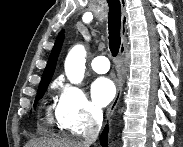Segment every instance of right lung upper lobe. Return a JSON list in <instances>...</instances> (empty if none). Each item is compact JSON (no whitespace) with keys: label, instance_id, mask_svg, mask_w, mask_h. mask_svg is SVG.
<instances>
[{"label":"right lung upper lobe","instance_id":"cb5924a9","mask_svg":"<svg viewBox=\"0 0 183 147\" xmlns=\"http://www.w3.org/2000/svg\"><path fill=\"white\" fill-rule=\"evenodd\" d=\"M63 38H64L63 32H61L58 35V37L55 41L54 47L51 51L49 60L47 62V66L44 70L41 82L39 84V88L46 87V86L48 87V85H49V83L52 79V76H53V73H54V70H55V66H56V61H57V58H58V55H59V52H60V49H61V45H62V42H63Z\"/></svg>","mask_w":183,"mask_h":147}]
</instances>
